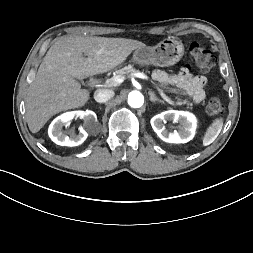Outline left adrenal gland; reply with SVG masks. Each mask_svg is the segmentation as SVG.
Here are the masks:
<instances>
[{
  "mask_svg": "<svg viewBox=\"0 0 253 253\" xmlns=\"http://www.w3.org/2000/svg\"><path fill=\"white\" fill-rule=\"evenodd\" d=\"M149 95H150V101L151 102H159V103H164L163 100H160L156 97V95L154 94V92L149 91Z\"/></svg>",
  "mask_w": 253,
  "mask_h": 253,
  "instance_id": "obj_1",
  "label": "left adrenal gland"
}]
</instances>
